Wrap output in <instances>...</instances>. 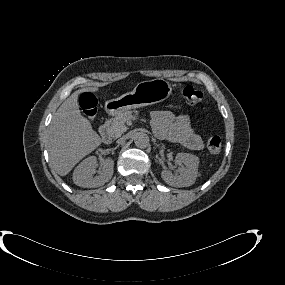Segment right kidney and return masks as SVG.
<instances>
[{"mask_svg":"<svg viewBox=\"0 0 285 285\" xmlns=\"http://www.w3.org/2000/svg\"><path fill=\"white\" fill-rule=\"evenodd\" d=\"M97 167L98 162L95 156L84 159L74 170V183L83 188H95L104 185L112 178L114 161L112 159L104 160L99 175L94 176Z\"/></svg>","mask_w":285,"mask_h":285,"instance_id":"right-kidney-1","label":"right kidney"}]
</instances>
